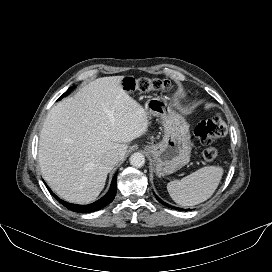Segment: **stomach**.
Segmentation results:
<instances>
[{"mask_svg": "<svg viewBox=\"0 0 272 272\" xmlns=\"http://www.w3.org/2000/svg\"><path fill=\"white\" fill-rule=\"evenodd\" d=\"M144 109L148 117H156L161 120L164 126L162 141L158 144L146 146L145 150L153 158L157 175L172 174L190 161L191 141L188 126L160 98L148 99Z\"/></svg>", "mask_w": 272, "mask_h": 272, "instance_id": "stomach-1", "label": "stomach"}]
</instances>
